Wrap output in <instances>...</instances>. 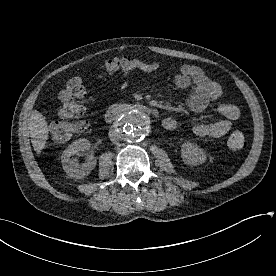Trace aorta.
<instances>
[{"mask_svg": "<svg viewBox=\"0 0 276 276\" xmlns=\"http://www.w3.org/2000/svg\"><path fill=\"white\" fill-rule=\"evenodd\" d=\"M122 137L130 142L144 139L147 134V117L136 108L127 109L119 120Z\"/></svg>", "mask_w": 276, "mask_h": 276, "instance_id": "762f6f07", "label": "aorta"}]
</instances>
